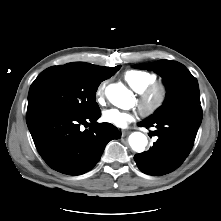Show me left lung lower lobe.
<instances>
[{"instance_id":"left-lung-lower-lobe-1","label":"left lung lower lobe","mask_w":221,"mask_h":221,"mask_svg":"<svg viewBox=\"0 0 221 221\" xmlns=\"http://www.w3.org/2000/svg\"><path fill=\"white\" fill-rule=\"evenodd\" d=\"M202 121V108L173 113L155 120H144L139 126L152 127L158 140L148 151L136 154L138 168L149 175L159 176L177 169L190 153Z\"/></svg>"}]
</instances>
